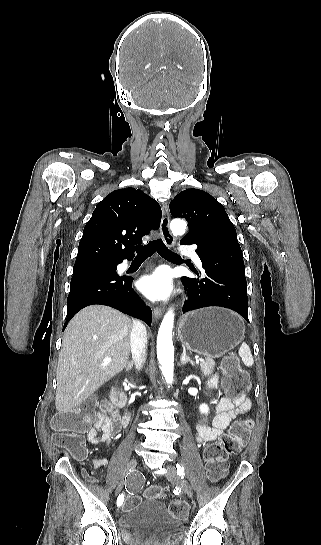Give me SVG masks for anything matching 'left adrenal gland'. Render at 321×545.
Segmentation results:
<instances>
[{"label":"left adrenal gland","mask_w":321,"mask_h":545,"mask_svg":"<svg viewBox=\"0 0 321 545\" xmlns=\"http://www.w3.org/2000/svg\"><path fill=\"white\" fill-rule=\"evenodd\" d=\"M180 363L181 365H186V363H191V365H195V363H193V361H191L190 357H187L186 355V349H183V353L180 357Z\"/></svg>","instance_id":"1"}]
</instances>
